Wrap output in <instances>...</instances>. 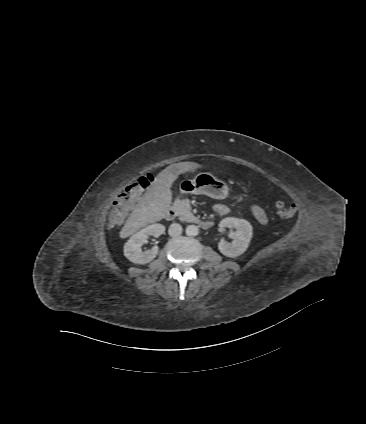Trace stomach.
I'll use <instances>...</instances> for the list:
<instances>
[{
    "instance_id": "obj_1",
    "label": "stomach",
    "mask_w": 366,
    "mask_h": 424,
    "mask_svg": "<svg viewBox=\"0 0 366 424\" xmlns=\"http://www.w3.org/2000/svg\"><path fill=\"white\" fill-rule=\"evenodd\" d=\"M183 185H191V193L196 195H207L218 200L228 197V186L226 183L210 173H200L193 180H185Z\"/></svg>"
}]
</instances>
